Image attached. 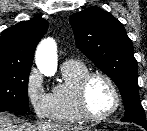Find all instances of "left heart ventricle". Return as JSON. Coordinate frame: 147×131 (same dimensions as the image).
Listing matches in <instances>:
<instances>
[{"label": "left heart ventricle", "mask_w": 147, "mask_h": 131, "mask_svg": "<svg viewBox=\"0 0 147 131\" xmlns=\"http://www.w3.org/2000/svg\"><path fill=\"white\" fill-rule=\"evenodd\" d=\"M87 105L94 115L109 112L114 105V95L109 84L100 77L93 78L87 88Z\"/></svg>", "instance_id": "obj_1"}]
</instances>
